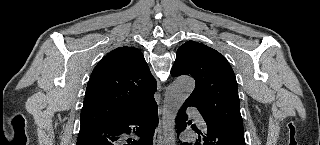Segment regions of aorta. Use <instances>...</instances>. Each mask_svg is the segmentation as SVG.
<instances>
[{
    "mask_svg": "<svg viewBox=\"0 0 320 145\" xmlns=\"http://www.w3.org/2000/svg\"><path fill=\"white\" fill-rule=\"evenodd\" d=\"M195 87L193 78L178 77L168 88L163 106V129L167 143L175 141V118L178 110L189 97Z\"/></svg>",
    "mask_w": 320,
    "mask_h": 145,
    "instance_id": "762f6f07",
    "label": "aorta"
}]
</instances>
